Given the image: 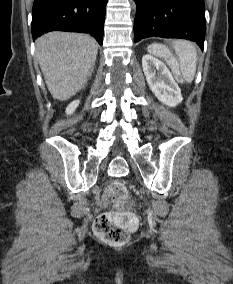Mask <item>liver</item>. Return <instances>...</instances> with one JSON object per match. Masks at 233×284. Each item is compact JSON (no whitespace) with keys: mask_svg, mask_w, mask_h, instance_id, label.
<instances>
[{"mask_svg":"<svg viewBox=\"0 0 233 284\" xmlns=\"http://www.w3.org/2000/svg\"><path fill=\"white\" fill-rule=\"evenodd\" d=\"M97 52L95 39L80 33L55 31L36 40V57L54 99L68 100L84 87Z\"/></svg>","mask_w":233,"mask_h":284,"instance_id":"6515ba94","label":"liver"}]
</instances>
